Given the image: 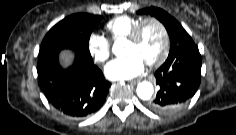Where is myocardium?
<instances>
[{"label":"myocardium","instance_id":"f54148a6","mask_svg":"<svg viewBox=\"0 0 236 135\" xmlns=\"http://www.w3.org/2000/svg\"><path fill=\"white\" fill-rule=\"evenodd\" d=\"M148 22H153L155 23L159 29L162 32L163 35V46L161 49L160 54L158 55V57L152 61L147 62V65L150 67H154V66H158L160 65L166 58L168 51H169V47H170V38H169V33L168 30L166 28V26L164 25V23L156 18V17H146L143 18L131 31L130 35L126 38V41L129 43H137L141 32L144 28V26L148 23Z\"/></svg>","mask_w":236,"mask_h":135}]
</instances>
